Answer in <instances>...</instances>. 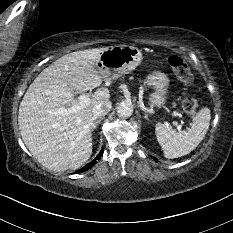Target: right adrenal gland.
Segmentation results:
<instances>
[{"instance_id": "1", "label": "right adrenal gland", "mask_w": 233, "mask_h": 233, "mask_svg": "<svg viewBox=\"0 0 233 233\" xmlns=\"http://www.w3.org/2000/svg\"><path fill=\"white\" fill-rule=\"evenodd\" d=\"M104 118V116L101 117H95L93 120V123L91 125V130H95L97 128V125L101 122V120Z\"/></svg>"}]
</instances>
